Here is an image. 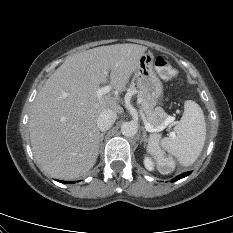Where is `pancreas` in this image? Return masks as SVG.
Listing matches in <instances>:
<instances>
[{"mask_svg":"<svg viewBox=\"0 0 233 233\" xmlns=\"http://www.w3.org/2000/svg\"><path fill=\"white\" fill-rule=\"evenodd\" d=\"M128 92L130 94H138V96L141 98V105L146 115V119L153 127L157 128L165 122L166 118L168 117L167 113L161 107L154 108L152 103L144 99L141 92L135 86V83L132 82L130 84ZM154 137L156 140H158L159 135H154Z\"/></svg>","mask_w":233,"mask_h":233,"instance_id":"obj_1","label":"pancreas"}]
</instances>
